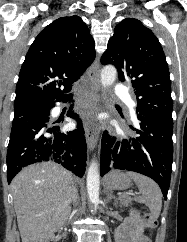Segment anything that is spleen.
<instances>
[{"mask_svg":"<svg viewBox=\"0 0 187 242\" xmlns=\"http://www.w3.org/2000/svg\"><path fill=\"white\" fill-rule=\"evenodd\" d=\"M127 175L139 188L140 195L136 200L144 203L149 208L152 217L157 219L162 208V193L159 186L149 177L139 173L128 172Z\"/></svg>","mask_w":187,"mask_h":242,"instance_id":"1","label":"spleen"}]
</instances>
